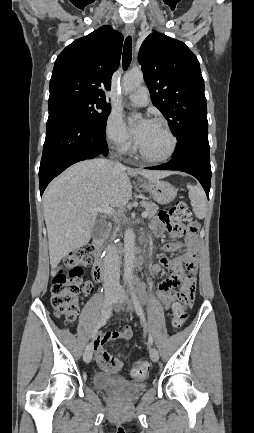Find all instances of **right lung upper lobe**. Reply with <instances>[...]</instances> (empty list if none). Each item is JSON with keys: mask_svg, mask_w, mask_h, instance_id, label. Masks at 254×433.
<instances>
[{"mask_svg": "<svg viewBox=\"0 0 254 433\" xmlns=\"http://www.w3.org/2000/svg\"><path fill=\"white\" fill-rule=\"evenodd\" d=\"M122 43L121 33L103 26L68 45L55 61L48 105L70 98L105 101Z\"/></svg>", "mask_w": 254, "mask_h": 433, "instance_id": "right-lung-upper-lobe-1", "label": "right lung upper lobe"}]
</instances>
